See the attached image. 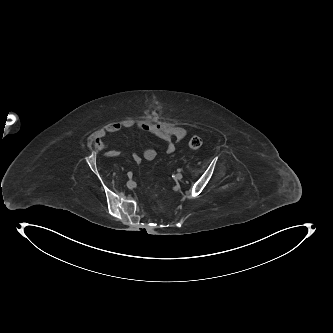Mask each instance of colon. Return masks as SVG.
<instances>
[{
  "mask_svg": "<svg viewBox=\"0 0 333 333\" xmlns=\"http://www.w3.org/2000/svg\"><path fill=\"white\" fill-rule=\"evenodd\" d=\"M202 145V139L199 136H192L191 139L189 140V146L192 149H199Z\"/></svg>",
  "mask_w": 333,
  "mask_h": 333,
  "instance_id": "obj_1",
  "label": "colon"
}]
</instances>
